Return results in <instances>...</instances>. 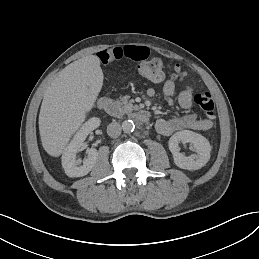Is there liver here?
Instances as JSON below:
<instances>
[{
    "label": "liver",
    "mask_w": 259,
    "mask_h": 259,
    "mask_svg": "<svg viewBox=\"0 0 259 259\" xmlns=\"http://www.w3.org/2000/svg\"><path fill=\"white\" fill-rule=\"evenodd\" d=\"M103 85L100 59L83 57L66 66L47 87L39 114V132L45 151L57 157L80 128Z\"/></svg>",
    "instance_id": "obj_1"
}]
</instances>
